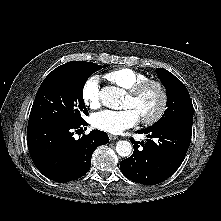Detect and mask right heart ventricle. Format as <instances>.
<instances>
[{
  "instance_id": "e07e8e85",
  "label": "right heart ventricle",
  "mask_w": 221,
  "mask_h": 221,
  "mask_svg": "<svg viewBox=\"0 0 221 221\" xmlns=\"http://www.w3.org/2000/svg\"><path fill=\"white\" fill-rule=\"evenodd\" d=\"M104 77L114 85L125 90H129L134 85L148 79L146 74L128 67L111 70Z\"/></svg>"
}]
</instances>
